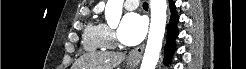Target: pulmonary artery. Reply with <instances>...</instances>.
I'll list each match as a JSON object with an SVG mask.
<instances>
[{"mask_svg": "<svg viewBox=\"0 0 246 69\" xmlns=\"http://www.w3.org/2000/svg\"><path fill=\"white\" fill-rule=\"evenodd\" d=\"M124 5L129 10H134L139 6V1L137 0H126Z\"/></svg>", "mask_w": 246, "mask_h": 69, "instance_id": "pulmonary-artery-1", "label": "pulmonary artery"}]
</instances>
